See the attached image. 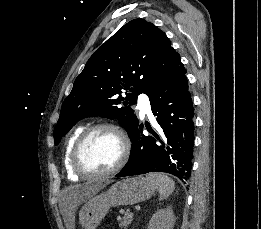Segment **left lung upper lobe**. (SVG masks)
<instances>
[{
	"label": "left lung upper lobe",
	"mask_w": 261,
	"mask_h": 229,
	"mask_svg": "<svg viewBox=\"0 0 261 229\" xmlns=\"http://www.w3.org/2000/svg\"><path fill=\"white\" fill-rule=\"evenodd\" d=\"M180 63L163 31L141 18L128 22L95 51L74 81L54 129L55 145L88 116L116 118L131 137L139 121L130 106L117 105L135 104L138 94L148 95ZM121 89L129 91L126 97Z\"/></svg>",
	"instance_id": "left-lung-upper-lobe-1"
}]
</instances>
